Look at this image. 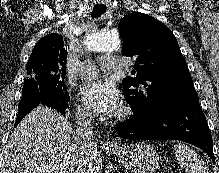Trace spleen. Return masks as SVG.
<instances>
[{
    "instance_id": "obj_1",
    "label": "spleen",
    "mask_w": 219,
    "mask_h": 173,
    "mask_svg": "<svg viewBox=\"0 0 219 173\" xmlns=\"http://www.w3.org/2000/svg\"><path fill=\"white\" fill-rule=\"evenodd\" d=\"M175 155L180 166L186 173H208L204 162L189 146L183 143H177L175 145Z\"/></svg>"
}]
</instances>
